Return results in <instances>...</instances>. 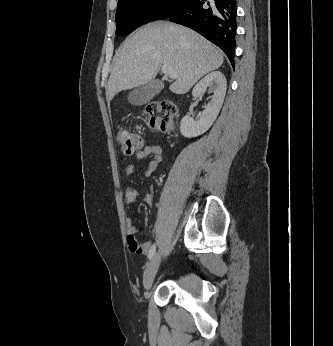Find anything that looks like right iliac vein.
Segmentation results:
<instances>
[{
    "mask_svg": "<svg viewBox=\"0 0 333 346\" xmlns=\"http://www.w3.org/2000/svg\"><path fill=\"white\" fill-rule=\"evenodd\" d=\"M161 261V254L158 252L148 263L144 276H143V286L146 290H149L152 287L155 275L157 273V270L159 268Z\"/></svg>",
    "mask_w": 333,
    "mask_h": 346,
    "instance_id": "63e3f726",
    "label": "right iliac vein"
}]
</instances>
